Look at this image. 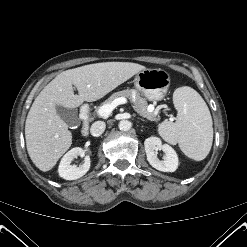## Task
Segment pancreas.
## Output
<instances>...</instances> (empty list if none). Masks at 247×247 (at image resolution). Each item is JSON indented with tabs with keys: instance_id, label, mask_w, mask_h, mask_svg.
<instances>
[{
	"instance_id": "1",
	"label": "pancreas",
	"mask_w": 247,
	"mask_h": 247,
	"mask_svg": "<svg viewBox=\"0 0 247 247\" xmlns=\"http://www.w3.org/2000/svg\"><path fill=\"white\" fill-rule=\"evenodd\" d=\"M119 97H127L131 100L133 103L134 110L139 113L140 115L148 118H153L154 114L148 112L147 107L148 103L145 98H142L140 94L134 90V89H127L123 91H119L116 93H113L103 104H110L112 103L116 98Z\"/></svg>"
}]
</instances>
